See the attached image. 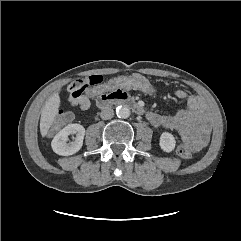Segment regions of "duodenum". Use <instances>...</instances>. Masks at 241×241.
I'll return each mask as SVG.
<instances>
[{
  "label": "duodenum",
  "instance_id": "410a0bca",
  "mask_svg": "<svg viewBox=\"0 0 241 241\" xmlns=\"http://www.w3.org/2000/svg\"><path fill=\"white\" fill-rule=\"evenodd\" d=\"M97 105L100 108H107L111 105H125L138 114L143 113L142 107L123 91H115L112 95H100L97 99Z\"/></svg>",
  "mask_w": 241,
  "mask_h": 241
}]
</instances>
